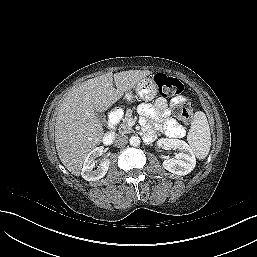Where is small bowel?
<instances>
[{
	"label": "small bowel",
	"mask_w": 257,
	"mask_h": 257,
	"mask_svg": "<svg viewBox=\"0 0 257 257\" xmlns=\"http://www.w3.org/2000/svg\"><path fill=\"white\" fill-rule=\"evenodd\" d=\"M187 100L186 97L179 96L171 100L169 103L164 98H158L153 105L141 104L139 112L147 119L153 122L156 129L162 130L168 136L175 137L183 134V129L176 121L170 118L172 107H176ZM150 130H148L147 137L149 138Z\"/></svg>",
	"instance_id": "1"
}]
</instances>
